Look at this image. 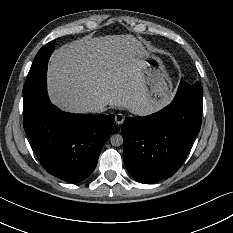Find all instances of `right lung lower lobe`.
<instances>
[{"instance_id": "right-lung-lower-lobe-1", "label": "right lung lower lobe", "mask_w": 233, "mask_h": 233, "mask_svg": "<svg viewBox=\"0 0 233 233\" xmlns=\"http://www.w3.org/2000/svg\"><path fill=\"white\" fill-rule=\"evenodd\" d=\"M113 123V115L60 111L49 101L46 79L24 94L23 125L40 163L70 183L83 181L95 169Z\"/></svg>"}]
</instances>
